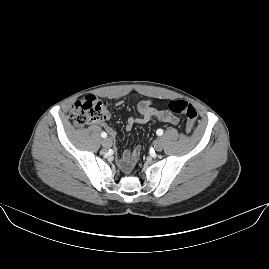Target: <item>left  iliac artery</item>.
Wrapping results in <instances>:
<instances>
[{
  "label": "left iliac artery",
  "mask_w": 269,
  "mask_h": 269,
  "mask_svg": "<svg viewBox=\"0 0 269 269\" xmlns=\"http://www.w3.org/2000/svg\"><path fill=\"white\" fill-rule=\"evenodd\" d=\"M156 134H157L158 136H161V135L163 134V130H162V129H158V130L156 131Z\"/></svg>",
  "instance_id": "44dca946"
}]
</instances>
